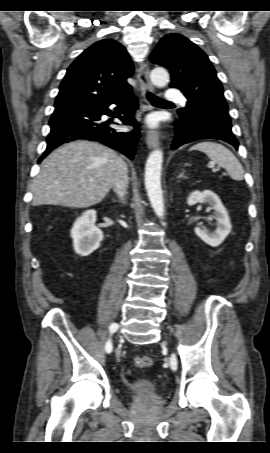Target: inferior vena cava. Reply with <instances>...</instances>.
<instances>
[{
  "label": "inferior vena cava",
  "mask_w": 270,
  "mask_h": 453,
  "mask_svg": "<svg viewBox=\"0 0 270 453\" xmlns=\"http://www.w3.org/2000/svg\"><path fill=\"white\" fill-rule=\"evenodd\" d=\"M128 188L127 165L122 159H118L115 163L113 190L118 195L121 201H124Z\"/></svg>",
  "instance_id": "602c4592"
}]
</instances>
